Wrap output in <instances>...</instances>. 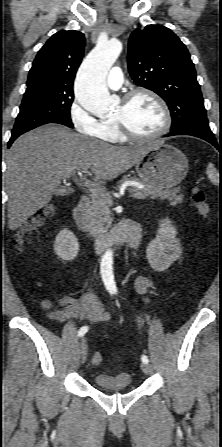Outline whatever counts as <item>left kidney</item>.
<instances>
[{
  "instance_id": "1",
  "label": "left kidney",
  "mask_w": 222,
  "mask_h": 447,
  "mask_svg": "<svg viewBox=\"0 0 222 447\" xmlns=\"http://www.w3.org/2000/svg\"><path fill=\"white\" fill-rule=\"evenodd\" d=\"M177 230L166 218L161 220L157 236L152 240L146 250V257L152 269L162 272L181 255V244L176 237Z\"/></svg>"
}]
</instances>
